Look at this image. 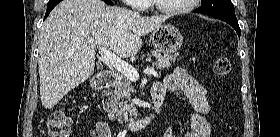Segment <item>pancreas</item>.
Segmentation results:
<instances>
[{"mask_svg":"<svg viewBox=\"0 0 280 137\" xmlns=\"http://www.w3.org/2000/svg\"><path fill=\"white\" fill-rule=\"evenodd\" d=\"M152 55L157 59L153 64L158 69H165L170 67L171 62L176 60V55H161L153 52ZM135 91L131 80L120 74L114 90L107 93L108 103L106 104V111L109 113L110 119H117L119 122H128V116H137L136 108L130 103L131 93Z\"/></svg>","mask_w":280,"mask_h":137,"instance_id":"pancreas-1","label":"pancreas"}]
</instances>
